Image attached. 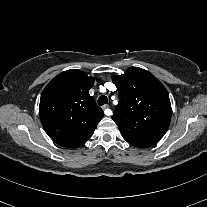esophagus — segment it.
Listing matches in <instances>:
<instances>
[{"instance_id":"34e87169","label":"esophagus","mask_w":207,"mask_h":207,"mask_svg":"<svg viewBox=\"0 0 207 207\" xmlns=\"http://www.w3.org/2000/svg\"><path fill=\"white\" fill-rule=\"evenodd\" d=\"M102 109L104 110V113L106 116H111L112 115V111L109 109V105H103Z\"/></svg>"}]
</instances>
